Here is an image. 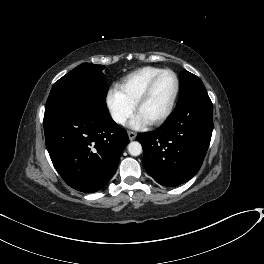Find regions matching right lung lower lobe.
I'll use <instances>...</instances> for the list:
<instances>
[{
    "label": "right lung lower lobe",
    "mask_w": 264,
    "mask_h": 264,
    "mask_svg": "<svg viewBox=\"0 0 264 264\" xmlns=\"http://www.w3.org/2000/svg\"><path fill=\"white\" fill-rule=\"evenodd\" d=\"M45 143L57 172L85 193L102 189L115 173L127 132L108 112L106 101L91 99L44 114Z\"/></svg>",
    "instance_id": "1"
}]
</instances>
